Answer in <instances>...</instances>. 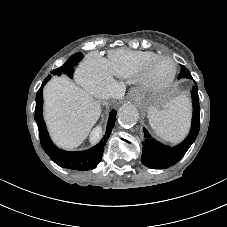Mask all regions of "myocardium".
Here are the masks:
<instances>
[{
	"mask_svg": "<svg viewBox=\"0 0 227 227\" xmlns=\"http://www.w3.org/2000/svg\"><path fill=\"white\" fill-rule=\"evenodd\" d=\"M175 73L176 65L170 57L156 56L140 73L137 84L144 93L155 92L166 87L173 80Z\"/></svg>",
	"mask_w": 227,
	"mask_h": 227,
	"instance_id": "obj_1",
	"label": "myocardium"
}]
</instances>
